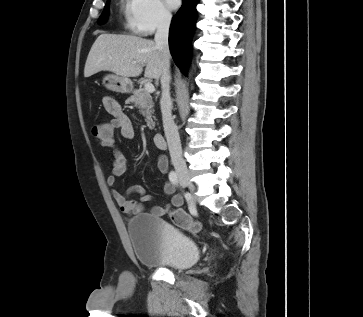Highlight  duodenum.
<instances>
[{
    "mask_svg": "<svg viewBox=\"0 0 363 317\" xmlns=\"http://www.w3.org/2000/svg\"><path fill=\"white\" fill-rule=\"evenodd\" d=\"M153 143L157 148H165L166 141L162 133L156 132L153 134Z\"/></svg>",
    "mask_w": 363,
    "mask_h": 317,
    "instance_id": "410a0bca",
    "label": "duodenum"
}]
</instances>
